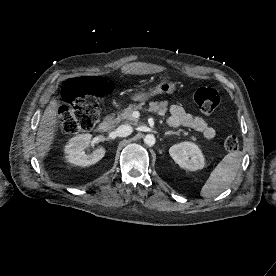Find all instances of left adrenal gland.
Returning <instances> with one entry per match:
<instances>
[{"label": "left adrenal gland", "instance_id": "obj_1", "mask_svg": "<svg viewBox=\"0 0 276 276\" xmlns=\"http://www.w3.org/2000/svg\"><path fill=\"white\" fill-rule=\"evenodd\" d=\"M172 134L178 135L177 132L167 131V132H165V137H167L168 135H172Z\"/></svg>", "mask_w": 276, "mask_h": 276}]
</instances>
